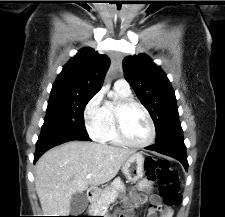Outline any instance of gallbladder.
<instances>
[{
  "label": "gallbladder",
  "mask_w": 225,
  "mask_h": 217,
  "mask_svg": "<svg viewBox=\"0 0 225 217\" xmlns=\"http://www.w3.org/2000/svg\"><path fill=\"white\" fill-rule=\"evenodd\" d=\"M88 205L87 196L83 192H76L73 194L70 201V213L74 216L84 212Z\"/></svg>",
  "instance_id": "obj_1"
}]
</instances>
